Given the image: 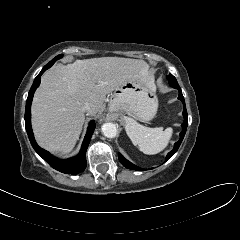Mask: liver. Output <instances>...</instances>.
<instances>
[{
    "label": "liver",
    "instance_id": "liver-1",
    "mask_svg": "<svg viewBox=\"0 0 240 240\" xmlns=\"http://www.w3.org/2000/svg\"><path fill=\"white\" fill-rule=\"evenodd\" d=\"M143 60L101 57L57 64L46 71L32 102V127L37 143L55 154L72 151L85 121L83 106L90 104L88 115H96L106 95L132 79L154 77Z\"/></svg>",
    "mask_w": 240,
    "mask_h": 240
}]
</instances>
